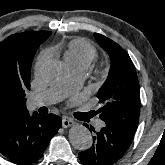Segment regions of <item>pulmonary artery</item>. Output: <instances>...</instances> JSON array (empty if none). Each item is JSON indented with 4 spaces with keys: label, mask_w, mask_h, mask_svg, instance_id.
Masks as SVG:
<instances>
[{
    "label": "pulmonary artery",
    "mask_w": 165,
    "mask_h": 165,
    "mask_svg": "<svg viewBox=\"0 0 165 165\" xmlns=\"http://www.w3.org/2000/svg\"><path fill=\"white\" fill-rule=\"evenodd\" d=\"M73 70L76 77L75 81H78L86 69L77 67V68H73ZM64 95H65V88L63 87L50 88L44 91L43 93L32 97L29 100V107L31 109H35L38 107L51 105L61 100L64 97ZM98 125L101 126V123H99Z\"/></svg>",
    "instance_id": "obj_1"
}]
</instances>
